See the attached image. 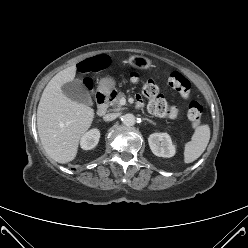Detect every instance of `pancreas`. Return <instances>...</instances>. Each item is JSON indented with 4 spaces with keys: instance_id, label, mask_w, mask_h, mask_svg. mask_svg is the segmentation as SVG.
<instances>
[{
    "instance_id": "pancreas-1",
    "label": "pancreas",
    "mask_w": 248,
    "mask_h": 248,
    "mask_svg": "<svg viewBox=\"0 0 248 248\" xmlns=\"http://www.w3.org/2000/svg\"><path fill=\"white\" fill-rule=\"evenodd\" d=\"M124 97V93L120 92L117 94V96L111 101V106L113 107V110L118 112L121 111L122 105L120 104V99Z\"/></svg>"
}]
</instances>
